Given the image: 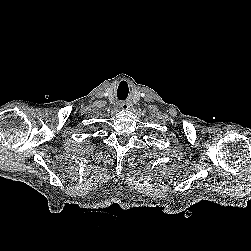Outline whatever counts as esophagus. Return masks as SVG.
<instances>
[{
  "label": "esophagus",
  "mask_w": 251,
  "mask_h": 251,
  "mask_svg": "<svg viewBox=\"0 0 251 251\" xmlns=\"http://www.w3.org/2000/svg\"><path fill=\"white\" fill-rule=\"evenodd\" d=\"M132 105L130 103H127V102H122L119 104V108L120 109H123V110H130L132 109Z\"/></svg>",
  "instance_id": "1"
}]
</instances>
